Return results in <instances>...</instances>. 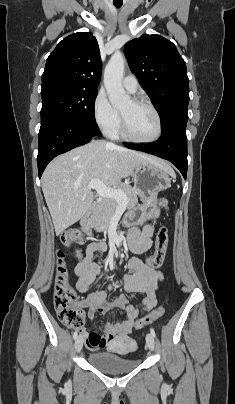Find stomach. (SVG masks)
Masks as SVG:
<instances>
[{"mask_svg": "<svg viewBox=\"0 0 235 404\" xmlns=\"http://www.w3.org/2000/svg\"><path fill=\"white\" fill-rule=\"evenodd\" d=\"M133 177L142 204L129 210L125 218V223L129 226L141 225L147 219L157 218L160 212L157 207L158 193L171 186L169 173L151 162L137 166Z\"/></svg>", "mask_w": 235, "mask_h": 404, "instance_id": "1", "label": "stomach"}]
</instances>
